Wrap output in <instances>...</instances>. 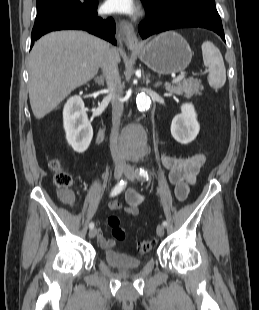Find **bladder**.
<instances>
[{
    "mask_svg": "<svg viewBox=\"0 0 259 310\" xmlns=\"http://www.w3.org/2000/svg\"><path fill=\"white\" fill-rule=\"evenodd\" d=\"M103 259L109 266L120 270L135 269L142 265V260L113 248L105 250Z\"/></svg>",
    "mask_w": 259,
    "mask_h": 310,
    "instance_id": "1",
    "label": "bladder"
}]
</instances>
